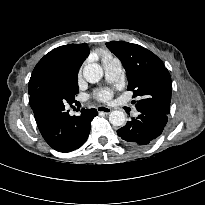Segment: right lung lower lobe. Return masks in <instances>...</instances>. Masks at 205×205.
Masks as SVG:
<instances>
[{
    "label": "right lung lower lobe",
    "mask_w": 205,
    "mask_h": 205,
    "mask_svg": "<svg viewBox=\"0 0 205 205\" xmlns=\"http://www.w3.org/2000/svg\"><path fill=\"white\" fill-rule=\"evenodd\" d=\"M69 85L56 80L30 94L29 103L45 141L59 152H70L84 144L90 133L96 109H82L80 116H70L66 106L79 104Z\"/></svg>",
    "instance_id": "obj_1"
}]
</instances>
